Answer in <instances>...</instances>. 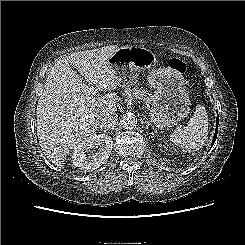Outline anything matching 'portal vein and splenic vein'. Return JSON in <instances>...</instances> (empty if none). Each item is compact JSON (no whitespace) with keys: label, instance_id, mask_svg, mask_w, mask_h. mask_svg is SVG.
Wrapping results in <instances>:
<instances>
[{"label":"portal vein and splenic vein","instance_id":"portal-vein-and-splenic-vein-1","mask_svg":"<svg viewBox=\"0 0 245 245\" xmlns=\"http://www.w3.org/2000/svg\"><path fill=\"white\" fill-rule=\"evenodd\" d=\"M97 90H96V88L94 87V86H91L90 87V93L93 95V96H95L96 95V92Z\"/></svg>","mask_w":245,"mask_h":245}]
</instances>
